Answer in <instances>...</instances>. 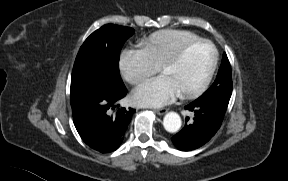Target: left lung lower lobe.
I'll return each instance as SVG.
<instances>
[{
	"mask_svg": "<svg viewBox=\"0 0 288 181\" xmlns=\"http://www.w3.org/2000/svg\"><path fill=\"white\" fill-rule=\"evenodd\" d=\"M185 109L194 112V121L174 135L172 142L179 150L190 151L201 147L215 135L221 126L226 109L213 103L196 101L185 106Z\"/></svg>",
	"mask_w": 288,
	"mask_h": 181,
	"instance_id": "left-lung-lower-lobe-1",
	"label": "left lung lower lobe"
}]
</instances>
